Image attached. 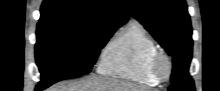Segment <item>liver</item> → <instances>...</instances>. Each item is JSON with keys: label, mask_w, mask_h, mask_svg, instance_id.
Masks as SVG:
<instances>
[{"label": "liver", "mask_w": 220, "mask_h": 91, "mask_svg": "<svg viewBox=\"0 0 220 91\" xmlns=\"http://www.w3.org/2000/svg\"><path fill=\"white\" fill-rule=\"evenodd\" d=\"M48 91H148L146 87L118 78L92 76L82 81L61 83Z\"/></svg>", "instance_id": "1"}]
</instances>
